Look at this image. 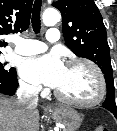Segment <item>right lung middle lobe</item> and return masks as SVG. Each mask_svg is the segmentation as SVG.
Returning a JSON list of instances; mask_svg holds the SVG:
<instances>
[{
	"label": "right lung middle lobe",
	"mask_w": 117,
	"mask_h": 131,
	"mask_svg": "<svg viewBox=\"0 0 117 131\" xmlns=\"http://www.w3.org/2000/svg\"><path fill=\"white\" fill-rule=\"evenodd\" d=\"M1 53V52H0ZM6 63L0 62V82L13 84L16 82L17 74L15 68H5Z\"/></svg>",
	"instance_id": "obj_1"
}]
</instances>
